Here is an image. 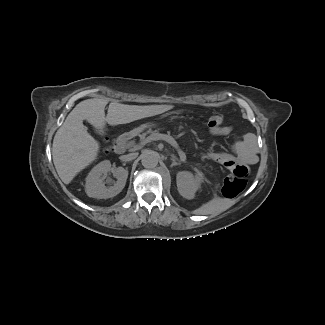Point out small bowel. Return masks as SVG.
<instances>
[{
  "instance_id": "obj_1",
  "label": "small bowel",
  "mask_w": 325,
  "mask_h": 325,
  "mask_svg": "<svg viewBox=\"0 0 325 325\" xmlns=\"http://www.w3.org/2000/svg\"><path fill=\"white\" fill-rule=\"evenodd\" d=\"M208 131L213 136H228L232 133L233 128L231 126L222 125L221 127H208ZM233 157L246 163L252 162L254 156L245 148L242 143H236L232 155H220L214 157L216 161L221 164L228 165L232 163Z\"/></svg>"
}]
</instances>
